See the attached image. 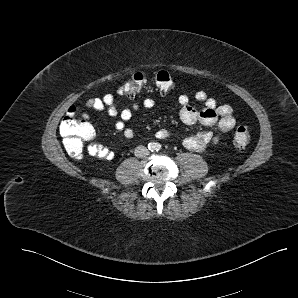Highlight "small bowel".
I'll list each match as a JSON object with an SVG mask.
<instances>
[{"label":"small bowel","mask_w":298,"mask_h":298,"mask_svg":"<svg viewBox=\"0 0 298 298\" xmlns=\"http://www.w3.org/2000/svg\"><path fill=\"white\" fill-rule=\"evenodd\" d=\"M194 99L197 102L203 103V108L198 110L191 106L190 99L185 94L178 97V103L181 106L179 111L181 121L188 125L200 122L206 126L217 125L218 127L216 132L202 131L188 136L183 140L185 148L200 152L209 145L220 144L224 136L234 128L236 120L231 106L227 104H217L216 100L209 97L204 91L196 92ZM154 106L155 101L152 98H146L141 103H134L130 107L120 109L112 94H106L99 98H91L85 102L86 108L98 112H105L110 116H118L119 119L115 123V128L121 132L126 139L134 137V130L126 125L133 114L142 108L151 109ZM156 136L160 139H167L170 137V132L167 129H160L156 132ZM89 153L92 156L107 161H111L115 157L114 152L110 148L96 143L89 148Z\"/></svg>","instance_id":"obj_1"}]
</instances>
